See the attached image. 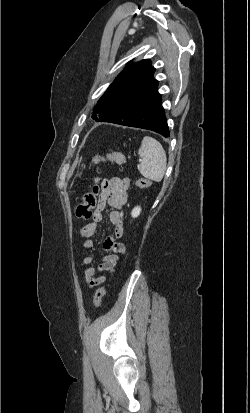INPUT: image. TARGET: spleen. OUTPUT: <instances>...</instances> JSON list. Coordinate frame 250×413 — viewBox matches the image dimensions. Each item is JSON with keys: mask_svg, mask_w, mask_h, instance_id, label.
I'll use <instances>...</instances> for the list:
<instances>
[{"mask_svg": "<svg viewBox=\"0 0 250 413\" xmlns=\"http://www.w3.org/2000/svg\"><path fill=\"white\" fill-rule=\"evenodd\" d=\"M141 157L137 168L142 176L160 182L166 171L167 157L162 145L154 138L145 136L138 150Z\"/></svg>", "mask_w": 250, "mask_h": 413, "instance_id": "3e777b00", "label": "spleen"}]
</instances>
